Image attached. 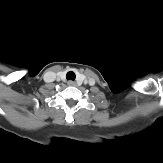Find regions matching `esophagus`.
<instances>
[{"instance_id":"obj_1","label":"esophagus","mask_w":163,"mask_h":163,"mask_svg":"<svg viewBox=\"0 0 163 163\" xmlns=\"http://www.w3.org/2000/svg\"><path fill=\"white\" fill-rule=\"evenodd\" d=\"M67 84L69 86H76V83L74 81H72V80L68 81Z\"/></svg>"}]
</instances>
